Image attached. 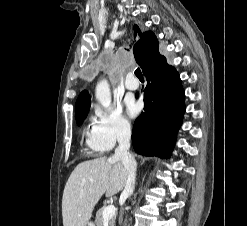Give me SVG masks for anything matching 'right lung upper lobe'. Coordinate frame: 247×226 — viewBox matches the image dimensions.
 Listing matches in <instances>:
<instances>
[{"mask_svg":"<svg viewBox=\"0 0 247 226\" xmlns=\"http://www.w3.org/2000/svg\"><path fill=\"white\" fill-rule=\"evenodd\" d=\"M135 37L139 39L135 43L133 52L137 64L144 69L146 64V56L152 49L159 48L157 37L152 31L141 32L137 25L134 26ZM90 108V99L87 91H82L76 101L75 114L76 117L88 112Z\"/></svg>","mask_w":247,"mask_h":226,"instance_id":"1","label":"right lung upper lobe"}]
</instances>
